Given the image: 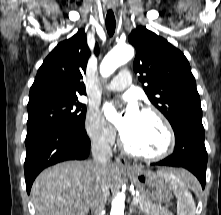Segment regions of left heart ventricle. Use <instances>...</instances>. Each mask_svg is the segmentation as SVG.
<instances>
[{"mask_svg":"<svg viewBox=\"0 0 221 215\" xmlns=\"http://www.w3.org/2000/svg\"><path fill=\"white\" fill-rule=\"evenodd\" d=\"M123 139L130 149L145 154L158 153L166 144V135L158 119L144 112H140L134 126Z\"/></svg>","mask_w":221,"mask_h":215,"instance_id":"b2bd125f","label":"left heart ventricle"}]
</instances>
